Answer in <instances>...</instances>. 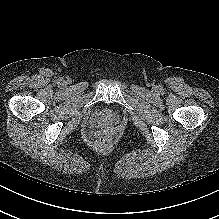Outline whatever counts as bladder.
<instances>
[{"label":"bladder","mask_w":219,"mask_h":219,"mask_svg":"<svg viewBox=\"0 0 219 219\" xmlns=\"http://www.w3.org/2000/svg\"><path fill=\"white\" fill-rule=\"evenodd\" d=\"M102 117V113L97 111L94 113L93 118L94 120H99Z\"/></svg>","instance_id":"31cf9c89"}]
</instances>
